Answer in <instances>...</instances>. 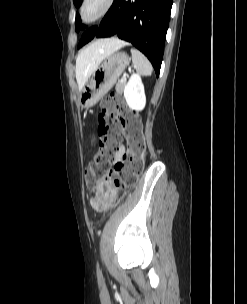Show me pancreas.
<instances>
[{
	"label": "pancreas",
	"instance_id": "cf45deb5",
	"mask_svg": "<svg viewBox=\"0 0 247 304\" xmlns=\"http://www.w3.org/2000/svg\"><path fill=\"white\" fill-rule=\"evenodd\" d=\"M126 84V79H122L120 80L117 84H116V91L117 92H122L123 91V88Z\"/></svg>",
	"mask_w": 247,
	"mask_h": 304
}]
</instances>
